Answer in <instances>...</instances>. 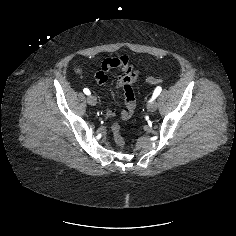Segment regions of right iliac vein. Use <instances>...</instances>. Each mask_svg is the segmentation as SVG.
<instances>
[{"label":"right iliac vein","instance_id":"obj_1","mask_svg":"<svg viewBox=\"0 0 236 236\" xmlns=\"http://www.w3.org/2000/svg\"><path fill=\"white\" fill-rule=\"evenodd\" d=\"M87 102L91 106H95L97 104V99L93 95H89L87 97Z\"/></svg>","mask_w":236,"mask_h":236}]
</instances>
